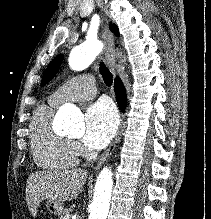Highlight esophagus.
I'll return each mask as SVG.
<instances>
[{"instance_id":"esophagus-1","label":"esophagus","mask_w":211,"mask_h":219,"mask_svg":"<svg viewBox=\"0 0 211 219\" xmlns=\"http://www.w3.org/2000/svg\"><path fill=\"white\" fill-rule=\"evenodd\" d=\"M105 45H106V61L107 64L111 70V72L113 73V75H116V70H115V58L113 55V34L109 31L108 29V25L105 24L104 28H103V33H102ZM121 121H123V117L121 119ZM120 136H121V127L120 130L118 131L114 141L112 142V144L109 146V148L102 154L100 160L97 163V166L95 169H98L102 164H104L105 161H107V159L111 156V154L113 153L116 145L120 142Z\"/></svg>"}]
</instances>
